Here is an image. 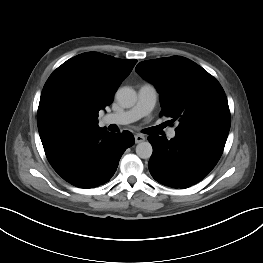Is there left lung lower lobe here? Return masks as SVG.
I'll list each match as a JSON object with an SVG mask.
<instances>
[{
  "instance_id": "0a47b994",
  "label": "left lung lower lobe",
  "mask_w": 263,
  "mask_h": 263,
  "mask_svg": "<svg viewBox=\"0 0 263 263\" xmlns=\"http://www.w3.org/2000/svg\"><path fill=\"white\" fill-rule=\"evenodd\" d=\"M228 135L176 131L175 138L149 136L153 154L149 171L159 183L188 188L201 181L220 159Z\"/></svg>"
}]
</instances>
